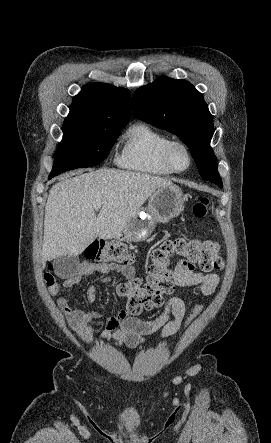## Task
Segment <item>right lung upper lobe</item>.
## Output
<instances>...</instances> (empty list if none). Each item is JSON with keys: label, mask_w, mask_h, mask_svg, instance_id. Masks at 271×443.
Returning <instances> with one entry per match:
<instances>
[{"label": "right lung upper lobe", "mask_w": 271, "mask_h": 443, "mask_svg": "<svg viewBox=\"0 0 271 443\" xmlns=\"http://www.w3.org/2000/svg\"><path fill=\"white\" fill-rule=\"evenodd\" d=\"M130 92L103 83H89L73 97L68 117L110 118L129 117Z\"/></svg>", "instance_id": "right-lung-upper-lobe-1"}]
</instances>
